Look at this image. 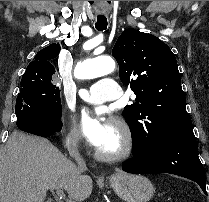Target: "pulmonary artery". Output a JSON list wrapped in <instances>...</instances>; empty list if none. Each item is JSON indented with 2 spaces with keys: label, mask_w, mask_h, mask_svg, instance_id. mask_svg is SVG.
<instances>
[{
  "label": "pulmonary artery",
  "mask_w": 209,
  "mask_h": 202,
  "mask_svg": "<svg viewBox=\"0 0 209 202\" xmlns=\"http://www.w3.org/2000/svg\"><path fill=\"white\" fill-rule=\"evenodd\" d=\"M79 96L92 104L99 105L107 100L118 98V83L112 79L97 80L79 90Z\"/></svg>",
  "instance_id": "1"
}]
</instances>
